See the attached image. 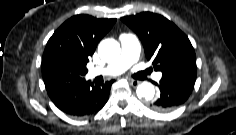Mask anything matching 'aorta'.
Returning a JSON list of instances; mask_svg holds the SVG:
<instances>
[{
	"mask_svg": "<svg viewBox=\"0 0 236 135\" xmlns=\"http://www.w3.org/2000/svg\"><path fill=\"white\" fill-rule=\"evenodd\" d=\"M120 52V44L114 39H105L98 46L99 56L108 63L116 61ZM136 93L138 98L152 100L155 95V89L151 83L143 82L137 87Z\"/></svg>",
	"mask_w": 236,
	"mask_h": 135,
	"instance_id": "762f6f07",
	"label": "aorta"
}]
</instances>
